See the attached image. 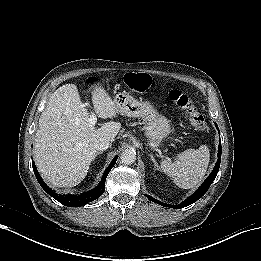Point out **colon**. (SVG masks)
Wrapping results in <instances>:
<instances>
[{"label": "colon", "mask_w": 261, "mask_h": 261, "mask_svg": "<svg viewBox=\"0 0 261 261\" xmlns=\"http://www.w3.org/2000/svg\"><path fill=\"white\" fill-rule=\"evenodd\" d=\"M127 82L129 86L138 92H145L152 88L153 80L145 73H132L128 76ZM167 97L178 107L184 110L191 123L198 129H205L206 122L204 117L197 111L190 96L179 89H170Z\"/></svg>", "instance_id": "5ec220e1"}]
</instances>
